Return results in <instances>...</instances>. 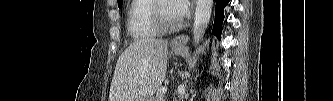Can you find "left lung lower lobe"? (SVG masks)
<instances>
[{"label":"left lung lower lobe","instance_id":"0a47b994","mask_svg":"<svg viewBox=\"0 0 333 101\" xmlns=\"http://www.w3.org/2000/svg\"><path fill=\"white\" fill-rule=\"evenodd\" d=\"M229 0H216L215 21L212 29V34L221 39L222 23L224 19V8Z\"/></svg>","mask_w":333,"mask_h":101}]
</instances>
